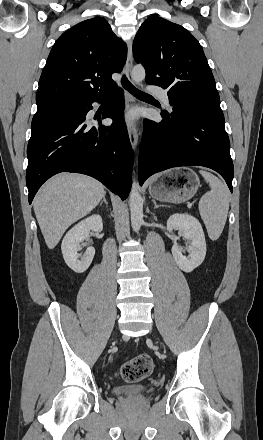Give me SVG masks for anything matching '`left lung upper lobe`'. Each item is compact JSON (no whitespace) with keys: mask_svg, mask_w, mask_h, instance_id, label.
Returning <instances> with one entry per match:
<instances>
[{"mask_svg":"<svg viewBox=\"0 0 263 440\" xmlns=\"http://www.w3.org/2000/svg\"><path fill=\"white\" fill-rule=\"evenodd\" d=\"M133 54L146 82L167 89L174 104L220 105L203 49L182 26L150 16L135 36Z\"/></svg>","mask_w":263,"mask_h":440,"instance_id":"1","label":"left lung upper lobe"}]
</instances>
